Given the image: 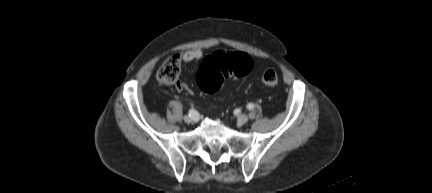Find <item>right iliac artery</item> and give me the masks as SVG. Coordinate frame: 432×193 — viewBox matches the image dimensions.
Returning <instances> with one entry per match:
<instances>
[{
    "mask_svg": "<svg viewBox=\"0 0 432 193\" xmlns=\"http://www.w3.org/2000/svg\"><path fill=\"white\" fill-rule=\"evenodd\" d=\"M197 115V112L194 110V109H190L189 110V116L190 117H194V116H196Z\"/></svg>",
    "mask_w": 432,
    "mask_h": 193,
    "instance_id": "obj_1",
    "label": "right iliac artery"
}]
</instances>
